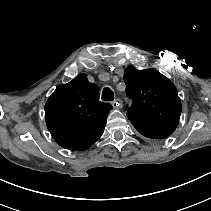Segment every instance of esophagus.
Returning <instances> with one entry per match:
<instances>
[{
	"mask_svg": "<svg viewBox=\"0 0 211 211\" xmlns=\"http://www.w3.org/2000/svg\"><path fill=\"white\" fill-rule=\"evenodd\" d=\"M112 106L115 109H120L122 107V103H121L120 99H116L115 101H113Z\"/></svg>",
	"mask_w": 211,
	"mask_h": 211,
	"instance_id": "esophagus-1",
	"label": "esophagus"
}]
</instances>
